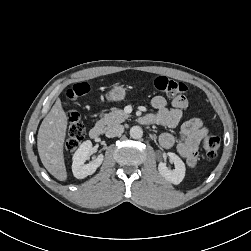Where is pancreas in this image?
Returning a JSON list of instances; mask_svg holds the SVG:
<instances>
[{
  "mask_svg": "<svg viewBox=\"0 0 251 251\" xmlns=\"http://www.w3.org/2000/svg\"><path fill=\"white\" fill-rule=\"evenodd\" d=\"M128 117L129 115L123 110L114 108L110 113L105 114L104 117L97 122V125L103 129H108L124 122Z\"/></svg>",
  "mask_w": 251,
  "mask_h": 251,
  "instance_id": "1",
  "label": "pancreas"
}]
</instances>
